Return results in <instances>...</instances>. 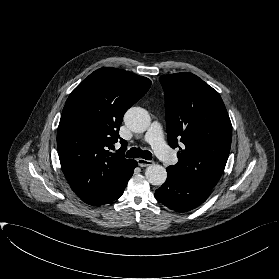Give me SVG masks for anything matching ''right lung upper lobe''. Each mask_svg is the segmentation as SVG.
Instances as JSON below:
<instances>
[{
  "mask_svg": "<svg viewBox=\"0 0 279 279\" xmlns=\"http://www.w3.org/2000/svg\"><path fill=\"white\" fill-rule=\"evenodd\" d=\"M150 86L146 77L106 67L90 74L69 95L57 148L66 179L85 203L109 194L132 170L135 160L109 149L120 138L124 113Z\"/></svg>",
  "mask_w": 279,
  "mask_h": 279,
  "instance_id": "cb5924a9",
  "label": "right lung upper lobe"
}]
</instances>
